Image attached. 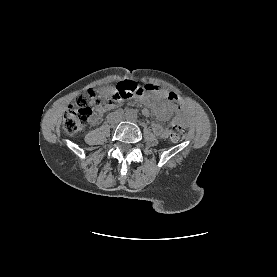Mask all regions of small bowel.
<instances>
[{
	"instance_id": "obj_1",
	"label": "small bowel",
	"mask_w": 277,
	"mask_h": 277,
	"mask_svg": "<svg viewBox=\"0 0 277 277\" xmlns=\"http://www.w3.org/2000/svg\"><path fill=\"white\" fill-rule=\"evenodd\" d=\"M149 88H146L145 92L152 93L156 99L163 100V102H151L149 103V108H144L142 110V113L144 116H149L150 111H152L159 119L166 120L170 117V115L173 113L174 110H176L177 117L173 121V123H176L177 121L184 120L188 121L184 115L181 109L177 108L178 103V97L177 95L172 91L167 90H161L157 86L154 85H148ZM120 103L119 101H115L112 103V105H117ZM108 106V107H110ZM105 107L103 109H99L92 118V123L96 124L101 119V114L104 111V109L108 108ZM152 128L154 132L161 138H167L170 135V129L167 127H164L160 123H153Z\"/></svg>"
}]
</instances>
